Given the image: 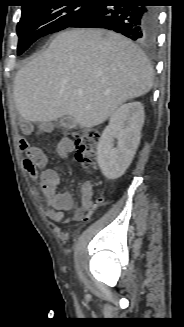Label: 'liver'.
<instances>
[{"label": "liver", "instance_id": "liver-1", "mask_svg": "<svg viewBox=\"0 0 184 327\" xmlns=\"http://www.w3.org/2000/svg\"><path fill=\"white\" fill-rule=\"evenodd\" d=\"M152 86L153 68L132 41L112 31L73 29L60 33L17 72L14 100L26 121L67 115L91 128Z\"/></svg>", "mask_w": 184, "mask_h": 327}]
</instances>
